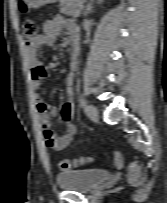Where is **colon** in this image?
<instances>
[{
	"label": "colon",
	"mask_w": 167,
	"mask_h": 203,
	"mask_svg": "<svg viewBox=\"0 0 167 203\" xmlns=\"http://www.w3.org/2000/svg\"><path fill=\"white\" fill-rule=\"evenodd\" d=\"M20 8L23 12L27 11V7L24 3L20 4ZM39 31H40L39 24L37 23L36 20L26 19L24 21L23 34L28 41L35 39L39 35ZM114 159L117 166H120L122 164V157L119 152L114 153ZM91 161L92 159L89 157L81 158L79 160H74V161L62 159L58 162V167L61 170H70L74 167H77L78 165L87 164V163H90ZM139 174H140L139 165L135 162L132 163L128 167V175H127L128 181L129 182L136 181L137 178L139 177Z\"/></svg>",
	"instance_id": "obj_1"
}]
</instances>
